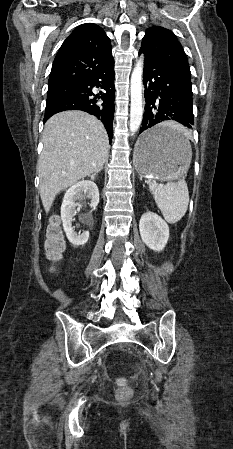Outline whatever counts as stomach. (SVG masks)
<instances>
[{
  "label": "stomach",
  "mask_w": 233,
  "mask_h": 449,
  "mask_svg": "<svg viewBox=\"0 0 233 449\" xmlns=\"http://www.w3.org/2000/svg\"><path fill=\"white\" fill-rule=\"evenodd\" d=\"M190 159L191 147L184 133L166 123L147 128L137 141L133 156L138 173L160 179L176 178L188 167Z\"/></svg>",
  "instance_id": "1"
}]
</instances>
